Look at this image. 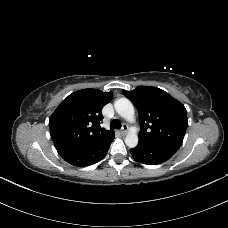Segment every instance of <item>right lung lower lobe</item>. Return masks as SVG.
<instances>
[{
	"instance_id": "right-lung-lower-lobe-1",
	"label": "right lung lower lobe",
	"mask_w": 228,
	"mask_h": 228,
	"mask_svg": "<svg viewBox=\"0 0 228 228\" xmlns=\"http://www.w3.org/2000/svg\"><path fill=\"white\" fill-rule=\"evenodd\" d=\"M114 137L115 135L90 148L69 152L61 156L74 166L82 167L95 164L104 158Z\"/></svg>"
}]
</instances>
